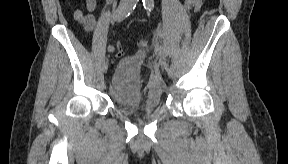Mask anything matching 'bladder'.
<instances>
[{
  "instance_id": "bladder-1",
  "label": "bladder",
  "mask_w": 288,
  "mask_h": 164,
  "mask_svg": "<svg viewBox=\"0 0 288 164\" xmlns=\"http://www.w3.org/2000/svg\"><path fill=\"white\" fill-rule=\"evenodd\" d=\"M143 60L141 54L131 55L117 64L112 73L108 93L113 105L122 113L152 114L159 109V93L144 87L139 76Z\"/></svg>"
}]
</instances>
